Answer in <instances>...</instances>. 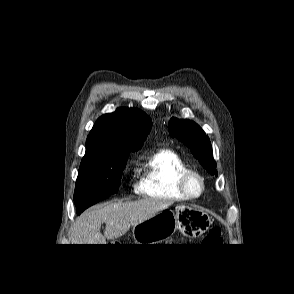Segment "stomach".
Masks as SVG:
<instances>
[{
  "label": "stomach",
  "mask_w": 294,
  "mask_h": 294,
  "mask_svg": "<svg viewBox=\"0 0 294 294\" xmlns=\"http://www.w3.org/2000/svg\"><path fill=\"white\" fill-rule=\"evenodd\" d=\"M211 219L204 211L186 205L176 207L175 212L162 210L153 217L133 227L136 244H159L179 230L185 237L196 238L210 226Z\"/></svg>",
  "instance_id": "0dacf381"
}]
</instances>
